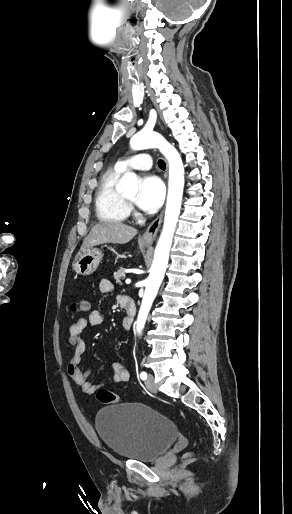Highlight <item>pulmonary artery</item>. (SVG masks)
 Returning a JSON list of instances; mask_svg holds the SVG:
<instances>
[{
	"label": "pulmonary artery",
	"mask_w": 292,
	"mask_h": 514,
	"mask_svg": "<svg viewBox=\"0 0 292 514\" xmlns=\"http://www.w3.org/2000/svg\"><path fill=\"white\" fill-rule=\"evenodd\" d=\"M131 157L133 159L138 160L135 163H131L129 165V168L131 170H135L136 172H149L152 169V164L149 162V159L151 157L149 151H136L131 154ZM116 168L120 171H123V165L121 163H118L116 165Z\"/></svg>",
	"instance_id": "1"
}]
</instances>
